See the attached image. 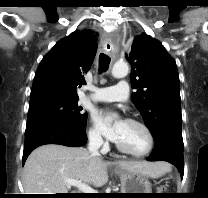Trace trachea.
I'll list each match as a JSON object with an SVG mask.
<instances>
[{
	"instance_id": "3493384b",
	"label": "trachea",
	"mask_w": 208,
	"mask_h": 198,
	"mask_svg": "<svg viewBox=\"0 0 208 198\" xmlns=\"http://www.w3.org/2000/svg\"><path fill=\"white\" fill-rule=\"evenodd\" d=\"M110 61H111V58L108 55H106L104 53L100 54V56H99V71H100V73L107 71Z\"/></svg>"
}]
</instances>
